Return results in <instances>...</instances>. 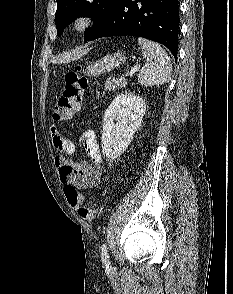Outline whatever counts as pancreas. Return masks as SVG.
<instances>
[{"label":"pancreas","mask_w":233,"mask_h":294,"mask_svg":"<svg viewBox=\"0 0 233 294\" xmlns=\"http://www.w3.org/2000/svg\"><path fill=\"white\" fill-rule=\"evenodd\" d=\"M127 85V81L124 79H107L106 83H105V90H114V89H121L126 87Z\"/></svg>","instance_id":"obj_1"}]
</instances>
